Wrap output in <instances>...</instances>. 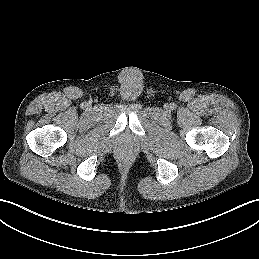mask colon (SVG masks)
Returning <instances> with one entry per match:
<instances>
[{"mask_svg": "<svg viewBox=\"0 0 259 259\" xmlns=\"http://www.w3.org/2000/svg\"><path fill=\"white\" fill-rule=\"evenodd\" d=\"M124 155H125V156H129V155H130V151H129V150H126V151L124 152Z\"/></svg>", "mask_w": 259, "mask_h": 259, "instance_id": "1", "label": "colon"}]
</instances>
